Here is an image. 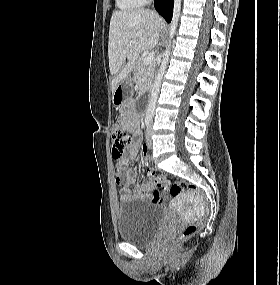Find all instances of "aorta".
<instances>
[{
	"label": "aorta",
	"instance_id": "762f6f07",
	"mask_svg": "<svg viewBox=\"0 0 280 285\" xmlns=\"http://www.w3.org/2000/svg\"><path fill=\"white\" fill-rule=\"evenodd\" d=\"M180 12H181V0H175L174 9H173V17H172V22H171L170 31H169L170 41H169L168 48L164 53L162 63L160 65V68L158 70V73L152 85L150 101H149L147 112H146L147 117H152L155 111V106H156V101H157L159 90H160L161 81H162L164 72L166 70L168 60H169L170 49H171V39L174 37L176 33V29H177V25H178V21L180 17Z\"/></svg>",
	"mask_w": 280,
	"mask_h": 285
}]
</instances>
